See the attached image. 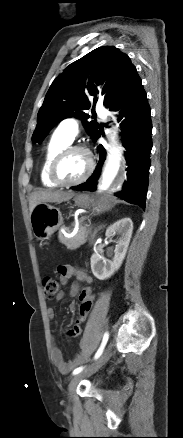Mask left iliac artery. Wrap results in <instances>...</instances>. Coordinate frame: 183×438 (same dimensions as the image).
<instances>
[{
	"label": "left iliac artery",
	"instance_id": "left-iliac-artery-1",
	"mask_svg": "<svg viewBox=\"0 0 183 438\" xmlns=\"http://www.w3.org/2000/svg\"><path fill=\"white\" fill-rule=\"evenodd\" d=\"M108 338H109V333H108V332H105V334H104V336H103L102 343H101V345H100L98 351L96 352V354H95V356H94V360L98 359V358L101 356V354L103 353V350H104V348H105V346H106V343H107V341H108ZM83 369H84V367H78V368H76V369L73 371V375H76V374L80 373Z\"/></svg>",
	"mask_w": 183,
	"mask_h": 438
}]
</instances>
